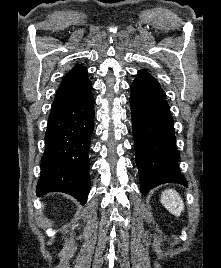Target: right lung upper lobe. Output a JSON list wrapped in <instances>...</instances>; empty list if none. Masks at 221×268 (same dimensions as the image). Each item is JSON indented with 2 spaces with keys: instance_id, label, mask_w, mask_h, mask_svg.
Masks as SVG:
<instances>
[{
  "instance_id": "1",
  "label": "right lung upper lobe",
  "mask_w": 221,
  "mask_h": 268,
  "mask_svg": "<svg viewBox=\"0 0 221 268\" xmlns=\"http://www.w3.org/2000/svg\"><path fill=\"white\" fill-rule=\"evenodd\" d=\"M91 91V84L87 77V70L82 65H75L63 78L57 95L55 104H63L74 101Z\"/></svg>"
}]
</instances>
